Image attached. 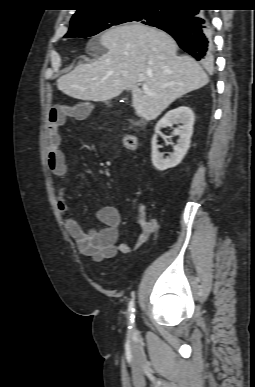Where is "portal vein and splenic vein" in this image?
Wrapping results in <instances>:
<instances>
[{
	"instance_id": "obj_1",
	"label": "portal vein and splenic vein",
	"mask_w": 255,
	"mask_h": 387,
	"mask_svg": "<svg viewBox=\"0 0 255 387\" xmlns=\"http://www.w3.org/2000/svg\"><path fill=\"white\" fill-rule=\"evenodd\" d=\"M139 80H140V81H143V78H140ZM142 88H143V90H144L146 93L152 95V93L149 91L147 85L143 84V85H142Z\"/></svg>"
}]
</instances>
